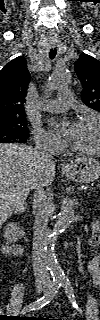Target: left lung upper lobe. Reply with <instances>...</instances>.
<instances>
[{
    "label": "left lung upper lobe",
    "instance_id": "5c2ea615",
    "mask_svg": "<svg viewBox=\"0 0 100 320\" xmlns=\"http://www.w3.org/2000/svg\"><path fill=\"white\" fill-rule=\"evenodd\" d=\"M74 67L83 86L82 101L100 111V62L82 53Z\"/></svg>",
    "mask_w": 100,
    "mask_h": 320
}]
</instances>
